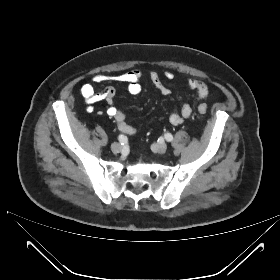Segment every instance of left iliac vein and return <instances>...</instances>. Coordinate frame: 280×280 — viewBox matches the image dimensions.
<instances>
[{"label":"left iliac vein","mask_w":280,"mask_h":280,"mask_svg":"<svg viewBox=\"0 0 280 280\" xmlns=\"http://www.w3.org/2000/svg\"><path fill=\"white\" fill-rule=\"evenodd\" d=\"M156 152L163 154L167 151V144L165 142H159L155 144Z\"/></svg>","instance_id":"4c4485c4"}]
</instances>
